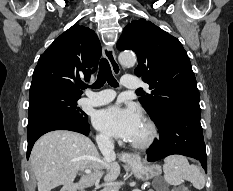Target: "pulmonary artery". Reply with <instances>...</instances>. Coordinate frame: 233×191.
<instances>
[{
  "instance_id": "e3ab8cb5",
  "label": "pulmonary artery",
  "mask_w": 233,
  "mask_h": 191,
  "mask_svg": "<svg viewBox=\"0 0 233 191\" xmlns=\"http://www.w3.org/2000/svg\"><path fill=\"white\" fill-rule=\"evenodd\" d=\"M121 83L127 89H136L142 85L141 81L132 75H125ZM85 95V97L80 99L82 105L101 106L111 102L115 97V92L111 89H104L98 92L87 90Z\"/></svg>"
}]
</instances>
